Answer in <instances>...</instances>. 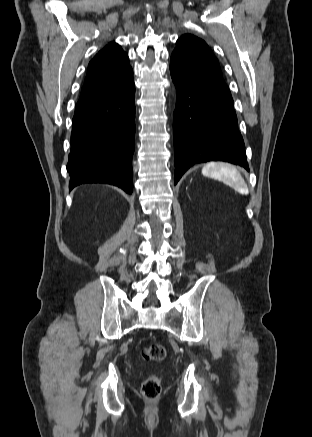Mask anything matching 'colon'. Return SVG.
I'll list each match as a JSON object with an SVG mask.
<instances>
[{"mask_svg":"<svg viewBox=\"0 0 312 437\" xmlns=\"http://www.w3.org/2000/svg\"><path fill=\"white\" fill-rule=\"evenodd\" d=\"M165 348L159 343L146 345L140 353L144 361H162L165 358ZM162 389V379L158 375L148 377L142 385V394L146 399H156Z\"/></svg>","mask_w":312,"mask_h":437,"instance_id":"colon-1","label":"colon"}]
</instances>
